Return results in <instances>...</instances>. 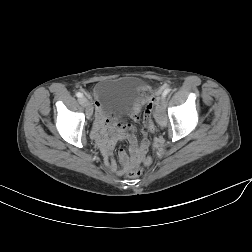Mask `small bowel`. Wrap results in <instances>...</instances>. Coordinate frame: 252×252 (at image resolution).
<instances>
[{"label": "small bowel", "mask_w": 252, "mask_h": 252, "mask_svg": "<svg viewBox=\"0 0 252 252\" xmlns=\"http://www.w3.org/2000/svg\"><path fill=\"white\" fill-rule=\"evenodd\" d=\"M147 98H142L136 102L131 111L130 116L135 122L140 121V113L143 106L148 104ZM96 121L91 133L92 138L97 142L105 156L107 167L118 175L124 174L130 167L144 162L149 165L151 159L147 158L146 152L149 147L148 135L154 130V126L143 124L141 127V140L138 141L136 136V128L134 125L119 120L116 115H106L99 103H96ZM120 140L129 143V154L124 150L118 153L119 164L112 159V149Z\"/></svg>", "instance_id": "small-bowel-1"}]
</instances>
